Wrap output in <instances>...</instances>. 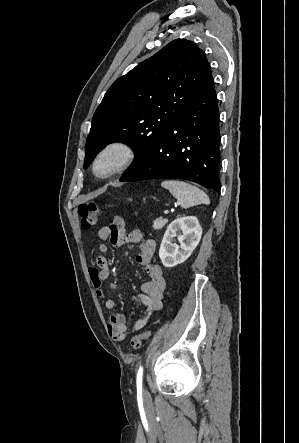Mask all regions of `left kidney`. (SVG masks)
<instances>
[{
    "mask_svg": "<svg viewBox=\"0 0 299 443\" xmlns=\"http://www.w3.org/2000/svg\"><path fill=\"white\" fill-rule=\"evenodd\" d=\"M177 232H182L177 235ZM202 228L197 217H179L168 226L159 249V257L162 264L174 267L187 260L201 240ZM180 246L176 243V239Z\"/></svg>",
    "mask_w": 299,
    "mask_h": 443,
    "instance_id": "obj_1",
    "label": "left kidney"
}]
</instances>
